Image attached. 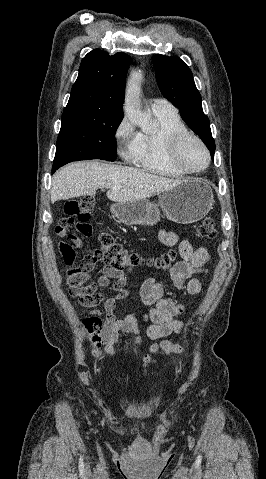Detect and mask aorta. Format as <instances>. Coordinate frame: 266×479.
Here are the masks:
<instances>
[{
	"label": "aorta",
	"instance_id": "762f6f07",
	"mask_svg": "<svg viewBox=\"0 0 266 479\" xmlns=\"http://www.w3.org/2000/svg\"><path fill=\"white\" fill-rule=\"evenodd\" d=\"M142 75L139 72L132 74L126 90L124 111L128 119L139 125L143 131H150L156 127V122L149 112L140 106V82Z\"/></svg>",
	"mask_w": 266,
	"mask_h": 479
}]
</instances>
